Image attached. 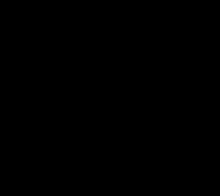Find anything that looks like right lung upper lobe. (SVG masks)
<instances>
[{
    "mask_svg": "<svg viewBox=\"0 0 220 196\" xmlns=\"http://www.w3.org/2000/svg\"><path fill=\"white\" fill-rule=\"evenodd\" d=\"M72 90L66 88L60 94V112L66 116L73 115L76 111V98Z\"/></svg>",
    "mask_w": 220,
    "mask_h": 196,
    "instance_id": "cb5924a9",
    "label": "right lung upper lobe"
}]
</instances>
